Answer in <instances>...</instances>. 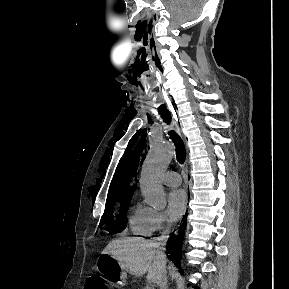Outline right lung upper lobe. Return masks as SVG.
Listing matches in <instances>:
<instances>
[{
  "label": "right lung upper lobe",
  "instance_id": "right-lung-upper-lobe-1",
  "mask_svg": "<svg viewBox=\"0 0 289 289\" xmlns=\"http://www.w3.org/2000/svg\"><path fill=\"white\" fill-rule=\"evenodd\" d=\"M130 179H123L121 181V187L116 191V189L114 191H109L108 196H107V201L106 203H110V204H116L117 202H123L125 200H129L132 197V192L134 190V186L131 188V190L128 191V195H126V191H127V186L129 185ZM118 186V185H117Z\"/></svg>",
  "mask_w": 289,
  "mask_h": 289
}]
</instances>
